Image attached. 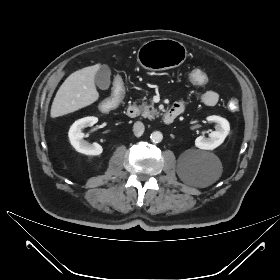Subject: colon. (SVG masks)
I'll return each instance as SVG.
<instances>
[{
  "label": "colon",
  "mask_w": 280,
  "mask_h": 280,
  "mask_svg": "<svg viewBox=\"0 0 280 280\" xmlns=\"http://www.w3.org/2000/svg\"><path fill=\"white\" fill-rule=\"evenodd\" d=\"M187 78L189 82L198 87H207L212 82V77L209 73L203 72L199 68H194L188 71ZM125 93V88L122 81L119 79L115 82L113 91L108 100L102 104V109L108 111L121 102ZM228 107L232 111H236L239 108V102L236 99H231L228 103Z\"/></svg>",
  "instance_id": "obj_1"
}]
</instances>
